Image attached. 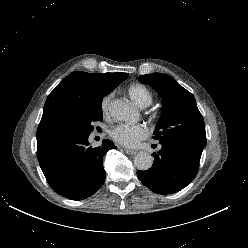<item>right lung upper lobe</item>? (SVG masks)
I'll return each instance as SVG.
<instances>
[{
	"instance_id": "right-lung-upper-lobe-1",
	"label": "right lung upper lobe",
	"mask_w": 248,
	"mask_h": 248,
	"mask_svg": "<svg viewBox=\"0 0 248 248\" xmlns=\"http://www.w3.org/2000/svg\"><path fill=\"white\" fill-rule=\"evenodd\" d=\"M128 76L127 73L121 72H72L49 94L37 137L55 129L63 118L83 112L103 94L111 93Z\"/></svg>"
}]
</instances>
